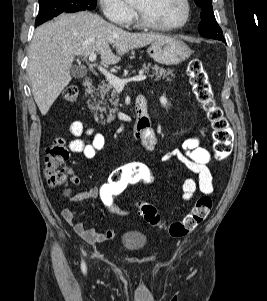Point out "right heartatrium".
I'll return each mask as SVG.
<instances>
[{"label": "right heart atrium", "instance_id": "1", "mask_svg": "<svg viewBox=\"0 0 267 301\" xmlns=\"http://www.w3.org/2000/svg\"><path fill=\"white\" fill-rule=\"evenodd\" d=\"M104 16L120 27H128L134 19L133 8L124 0H99Z\"/></svg>", "mask_w": 267, "mask_h": 301}]
</instances>
